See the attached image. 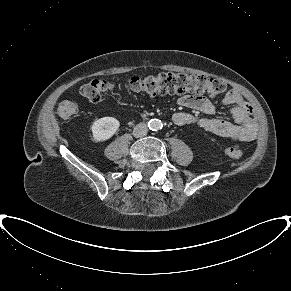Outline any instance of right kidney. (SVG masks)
<instances>
[{
	"label": "right kidney",
	"instance_id": "right-kidney-1",
	"mask_svg": "<svg viewBox=\"0 0 291 291\" xmlns=\"http://www.w3.org/2000/svg\"><path fill=\"white\" fill-rule=\"evenodd\" d=\"M120 123L114 117H103L93 122L91 130L95 142L110 139L119 129Z\"/></svg>",
	"mask_w": 291,
	"mask_h": 291
}]
</instances>
